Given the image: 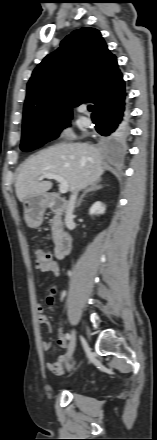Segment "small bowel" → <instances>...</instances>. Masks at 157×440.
<instances>
[{
  "instance_id": "c3829d8e",
  "label": "small bowel",
  "mask_w": 157,
  "mask_h": 440,
  "mask_svg": "<svg viewBox=\"0 0 157 440\" xmlns=\"http://www.w3.org/2000/svg\"><path fill=\"white\" fill-rule=\"evenodd\" d=\"M42 272H48L53 276H57L59 274V267L56 262L51 260L47 265L37 268ZM37 314H38V321L41 325H50L49 318L44 314L43 306L38 304L36 307ZM57 345L60 348H66L67 347V341L65 339V336L62 333V330L60 329L58 332V338H57ZM42 348L44 351H49L51 348V343L44 341L42 342ZM71 356L68 355V353L59 355L55 361L48 362L46 364V367L49 371H51L54 374L60 375L64 373L65 370H72L75 367V363H71Z\"/></svg>"
}]
</instances>
